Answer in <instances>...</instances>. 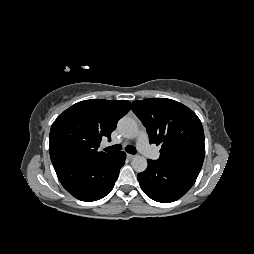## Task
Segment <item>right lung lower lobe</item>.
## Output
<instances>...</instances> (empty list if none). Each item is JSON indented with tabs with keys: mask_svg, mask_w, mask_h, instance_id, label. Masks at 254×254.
I'll list each match as a JSON object with an SVG mask.
<instances>
[{
	"mask_svg": "<svg viewBox=\"0 0 254 254\" xmlns=\"http://www.w3.org/2000/svg\"><path fill=\"white\" fill-rule=\"evenodd\" d=\"M126 154L82 159L71 158L53 163L63 187L75 198L91 202L102 199L113 189Z\"/></svg>",
	"mask_w": 254,
	"mask_h": 254,
	"instance_id": "obj_1",
	"label": "right lung lower lobe"
}]
</instances>
